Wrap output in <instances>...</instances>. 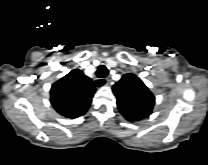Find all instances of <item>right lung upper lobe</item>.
<instances>
[{"instance_id": "1", "label": "right lung upper lobe", "mask_w": 208, "mask_h": 165, "mask_svg": "<svg viewBox=\"0 0 208 165\" xmlns=\"http://www.w3.org/2000/svg\"><path fill=\"white\" fill-rule=\"evenodd\" d=\"M95 91L92 79L75 69L52 85L50 102L59 114L74 119L86 113Z\"/></svg>"}]
</instances>
